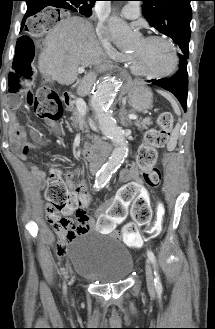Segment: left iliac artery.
I'll return each instance as SVG.
<instances>
[{"instance_id": "left-iliac-artery-1", "label": "left iliac artery", "mask_w": 215, "mask_h": 329, "mask_svg": "<svg viewBox=\"0 0 215 329\" xmlns=\"http://www.w3.org/2000/svg\"><path fill=\"white\" fill-rule=\"evenodd\" d=\"M147 255H148V258L149 260L151 261V263L153 264L154 266V275H155V278H154V283H155V288L157 291H162V283H161V280H160V277H159V274H158V271H157V268H156V259H155V255L152 251H148L147 252Z\"/></svg>"}]
</instances>
